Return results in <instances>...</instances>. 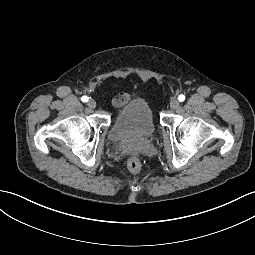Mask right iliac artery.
Returning <instances> with one entry per match:
<instances>
[{
	"instance_id": "1",
	"label": "right iliac artery",
	"mask_w": 255,
	"mask_h": 255,
	"mask_svg": "<svg viewBox=\"0 0 255 255\" xmlns=\"http://www.w3.org/2000/svg\"><path fill=\"white\" fill-rule=\"evenodd\" d=\"M88 97L87 96H83L82 98H81V100L83 101V102H87L88 101Z\"/></svg>"
}]
</instances>
